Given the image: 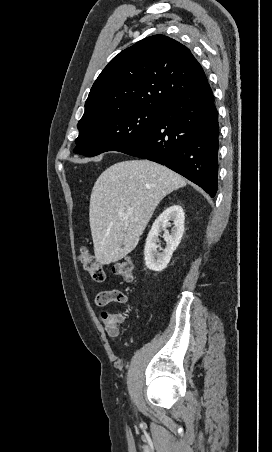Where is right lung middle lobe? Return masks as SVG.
Returning a JSON list of instances; mask_svg holds the SVG:
<instances>
[{"instance_id":"dd1d6c3e","label":"right lung middle lobe","mask_w":272,"mask_h":452,"mask_svg":"<svg viewBox=\"0 0 272 452\" xmlns=\"http://www.w3.org/2000/svg\"><path fill=\"white\" fill-rule=\"evenodd\" d=\"M163 109L137 107L107 113L78 123L74 153L93 157L117 151L142 136L157 121Z\"/></svg>"}]
</instances>
